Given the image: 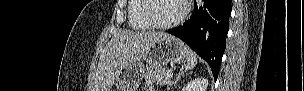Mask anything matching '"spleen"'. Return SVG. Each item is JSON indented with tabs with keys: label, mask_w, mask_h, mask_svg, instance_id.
I'll return each mask as SVG.
<instances>
[{
	"label": "spleen",
	"mask_w": 304,
	"mask_h": 91,
	"mask_svg": "<svg viewBox=\"0 0 304 91\" xmlns=\"http://www.w3.org/2000/svg\"><path fill=\"white\" fill-rule=\"evenodd\" d=\"M197 64V56L194 52H192L191 50L189 51V55L187 58V66L186 69H193Z\"/></svg>",
	"instance_id": "spleen-1"
}]
</instances>
